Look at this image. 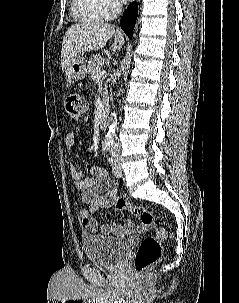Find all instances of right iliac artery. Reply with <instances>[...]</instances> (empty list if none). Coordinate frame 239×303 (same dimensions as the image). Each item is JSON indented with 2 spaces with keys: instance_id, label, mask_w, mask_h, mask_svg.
I'll return each instance as SVG.
<instances>
[{
  "instance_id": "obj_1",
  "label": "right iliac artery",
  "mask_w": 239,
  "mask_h": 303,
  "mask_svg": "<svg viewBox=\"0 0 239 303\" xmlns=\"http://www.w3.org/2000/svg\"><path fill=\"white\" fill-rule=\"evenodd\" d=\"M111 145H112V143L110 141H104L102 144L103 151L104 152L109 151Z\"/></svg>"
}]
</instances>
